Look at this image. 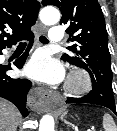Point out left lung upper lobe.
<instances>
[{"label": "left lung upper lobe", "mask_w": 117, "mask_h": 131, "mask_svg": "<svg viewBox=\"0 0 117 131\" xmlns=\"http://www.w3.org/2000/svg\"><path fill=\"white\" fill-rule=\"evenodd\" d=\"M42 5L57 6L67 24L66 32L75 44L62 59L88 71L92 84L112 90L111 56L105 19L97 0H43Z\"/></svg>", "instance_id": "left-lung-upper-lobe-1"}]
</instances>
